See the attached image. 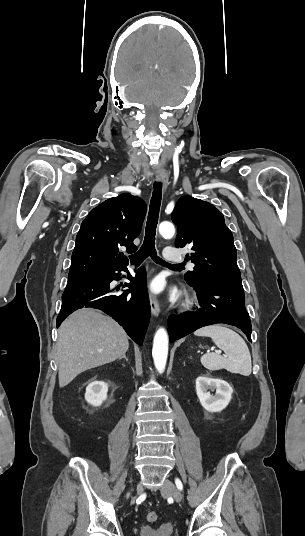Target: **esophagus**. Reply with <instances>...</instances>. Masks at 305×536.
<instances>
[{
  "instance_id": "1",
  "label": "esophagus",
  "mask_w": 305,
  "mask_h": 536,
  "mask_svg": "<svg viewBox=\"0 0 305 536\" xmlns=\"http://www.w3.org/2000/svg\"><path fill=\"white\" fill-rule=\"evenodd\" d=\"M156 180H157V182L162 183L163 189L165 191L166 188H167V185H168L169 177L167 175H157ZM149 301H150V307H151L152 314L155 315V316H158L159 313H160V307H159V304H158V301H157L156 297L152 293H149Z\"/></svg>"
}]
</instances>
